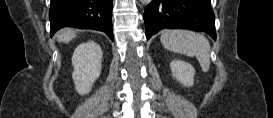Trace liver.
<instances>
[{
	"mask_svg": "<svg viewBox=\"0 0 273 118\" xmlns=\"http://www.w3.org/2000/svg\"><path fill=\"white\" fill-rule=\"evenodd\" d=\"M76 34L75 31L72 29H63L61 30L58 35H57V39L59 42H64V43H68L71 40H73L75 38Z\"/></svg>",
	"mask_w": 273,
	"mask_h": 118,
	"instance_id": "liver-1",
	"label": "liver"
}]
</instances>
